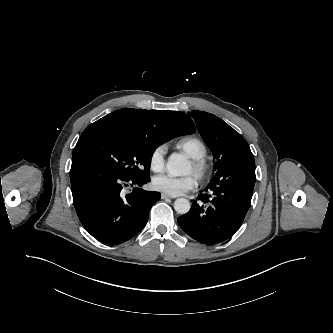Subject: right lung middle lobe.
I'll return each mask as SVG.
<instances>
[{"label": "right lung middle lobe", "mask_w": 333, "mask_h": 333, "mask_svg": "<svg viewBox=\"0 0 333 333\" xmlns=\"http://www.w3.org/2000/svg\"><path fill=\"white\" fill-rule=\"evenodd\" d=\"M158 142L123 130L83 132L72 155L93 158L116 174L148 178L152 154Z\"/></svg>", "instance_id": "dd1d6c3e"}]
</instances>
